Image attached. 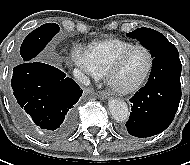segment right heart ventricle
Segmentation results:
<instances>
[{"instance_id":"right-heart-ventricle-1","label":"right heart ventricle","mask_w":190,"mask_h":165,"mask_svg":"<svg viewBox=\"0 0 190 165\" xmlns=\"http://www.w3.org/2000/svg\"><path fill=\"white\" fill-rule=\"evenodd\" d=\"M132 45L129 41L111 38L91 43L86 51L94 70L101 77L106 75L116 57Z\"/></svg>"}]
</instances>
